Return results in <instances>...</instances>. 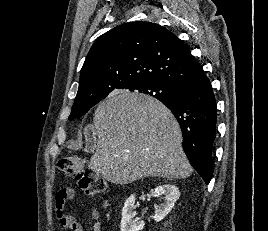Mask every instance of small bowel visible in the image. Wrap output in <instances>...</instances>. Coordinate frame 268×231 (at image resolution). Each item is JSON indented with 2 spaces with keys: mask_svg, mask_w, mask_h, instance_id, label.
Wrapping results in <instances>:
<instances>
[{
  "mask_svg": "<svg viewBox=\"0 0 268 231\" xmlns=\"http://www.w3.org/2000/svg\"><path fill=\"white\" fill-rule=\"evenodd\" d=\"M68 191L69 194L65 197H62V192ZM74 198V191L71 188H64L59 191L56 196V218L59 225L69 231H83L82 226L76 220V218L67 213L65 209V204ZM92 217L95 219L94 231H102V226L99 221L100 214L98 210H92Z\"/></svg>",
  "mask_w": 268,
  "mask_h": 231,
  "instance_id": "1",
  "label": "small bowel"
}]
</instances>
